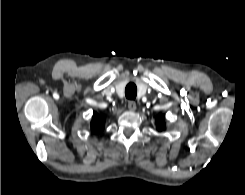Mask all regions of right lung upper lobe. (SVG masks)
Listing matches in <instances>:
<instances>
[{"instance_id": "obj_1", "label": "right lung upper lobe", "mask_w": 245, "mask_h": 195, "mask_svg": "<svg viewBox=\"0 0 245 195\" xmlns=\"http://www.w3.org/2000/svg\"><path fill=\"white\" fill-rule=\"evenodd\" d=\"M105 118L94 114L91 122V130L93 133H99L104 129Z\"/></svg>"}]
</instances>
